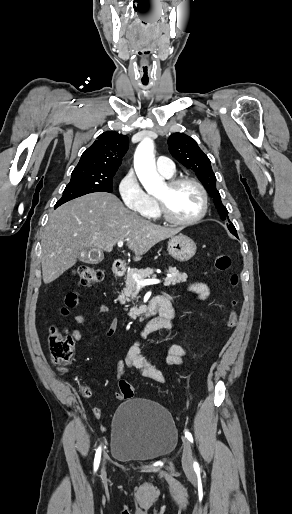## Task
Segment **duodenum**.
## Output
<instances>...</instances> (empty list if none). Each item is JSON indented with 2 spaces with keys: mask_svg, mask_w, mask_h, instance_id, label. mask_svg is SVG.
<instances>
[{
  "mask_svg": "<svg viewBox=\"0 0 292 514\" xmlns=\"http://www.w3.org/2000/svg\"><path fill=\"white\" fill-rule=\"evenodd\" d=\"M113 273L117 277H122L125 275V269L120 264H117L113 268ZM172 310V304L170 300L164 295H156L151 301L147 304L145 308V313L153 314L159 312V315L153 319H151L146 325L147 332H154L163 330L162 315L165 317H169Z\"/></svg>",
  "mask_w": 292,
  "mask_h": 514,
  "instance_id": "obj_1",
  "label": "duodenum"
}]
</instances>
